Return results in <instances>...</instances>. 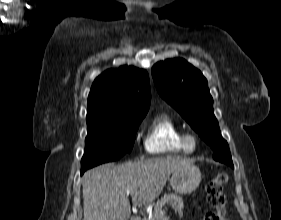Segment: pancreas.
Listing matches in <instances>:
<instances>
[{"label":"pancreas","instance_id":"obj_1","mask_svg":"<svg viewBox=\"0 0 281 220\" xmlns=\"http://www.w3.org/2000/svg\"><path fill=\"white\" fill-rule=\"evenodd\" d=\"M166 203H169L171 207L179 214L183 215V201L182 198L175 193L164 195L159 199L155 205V209L151 218H144L142 220H162L161 211Z\"/></svg>","mask_w":281,"mask_h":220}]
</instances>
